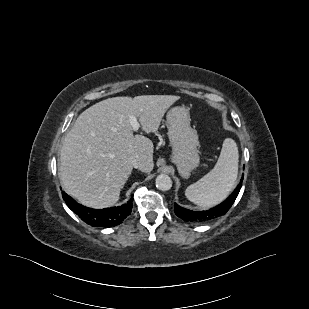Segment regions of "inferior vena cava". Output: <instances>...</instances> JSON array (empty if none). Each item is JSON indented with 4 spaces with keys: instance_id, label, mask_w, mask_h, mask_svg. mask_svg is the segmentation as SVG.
Returning <instances> with one entry per match:
<instances>
[{
    "instance_id": "1",
    "label": "inferior vena cava",
    "mask_w": 309,
    "mask_h": 309,
    "mask_svg": "<svg viewBox=\"0 0 309 309\" xmlns=\"http://www.w3.org/2000/svg\"><path fill=\"white\" fill-rule=\"evenodd\" d=\"M131 164L134 168L140 169L142 167L141 158L139 156L132 157Z\"/></svg>"
}]
</instances>
